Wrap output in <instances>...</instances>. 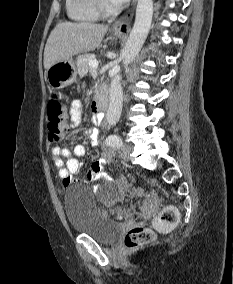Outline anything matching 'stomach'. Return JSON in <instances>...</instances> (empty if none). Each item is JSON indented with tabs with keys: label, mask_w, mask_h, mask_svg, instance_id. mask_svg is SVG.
<instances>
[{
	"label": "stomach",
	"mask_w": 233,
	"mask_h": 284,
	"mask_svg": "<svg viewBox=\"0 0 233 284\" xmlns=\"http://www.w3.org/2000/svg\"><path fill=\"white\" fill-rule=\"evenodd\" d=\"M114 36L120 37V34L114 33ZM77 73L72 59L59 61L47 70V82L53 89H60L74 83L77 79Z\"/></svg>",
	"instance_id": "1"
}]
</instances>
